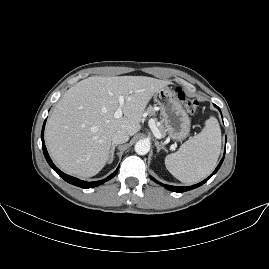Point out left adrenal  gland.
<instances>
[{"instance_id": "obj_1", "label": "left adrenal gland", "mask_w": 269, "mask_h": 269, "mask_svg": "<svg viewBox=\"0 0 269 269\" xmlns=\"http://www.w3.org/2000/svg\"><path fill=\"white\" fill-rule=\"evenodd\" d=\"M155 146L157 148V152H159L161 149L167 151V149L163 145H161L158 141H155Z\"/></svg>"}]
</instances>
